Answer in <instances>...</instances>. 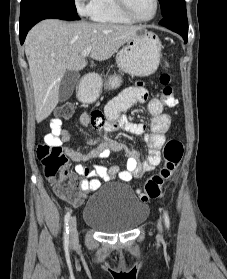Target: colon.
<instances>
[{"mask_svg": "<svg viewBox=\"0 0 227 279\" xmlns=\"http://www.w3.org/2000/svg\"><path fill=\"white\" fill-rule=\"evenodd\" d=\"M161 85V98L168 107H175L178 105V99L174 94L171 86V77L168 73H162L159 77ZM75 111L74 105H63L60 110L61 119H69ZM99 118L98 114L94 115ZM55 129L47 135L45 143L39 144L36 147V157L44 169V173L50 183L53 185L55 191L66 200L70 202H78L80 199L78 182L75 179L59 180L56 175L60 168L64 167L69 162L68 155L60 147V127L61 121L54 120ZM164 165L161 170L151 176L144 183L142 189L139 191V198L147 202L152 199L160 198L162 195V187L166 180H168L174 173L176 167L183 157V143L178 138H171L167 141L164 151Z\"/></svg>", "mask_w": 227, "mask_h": 279, "instance_id": "obj_1", "label": "colon"}]
</instances>
